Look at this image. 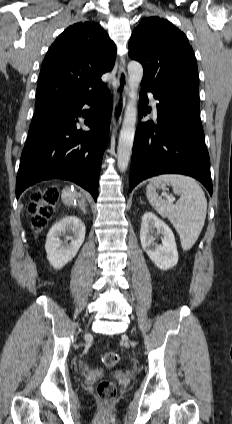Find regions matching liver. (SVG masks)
I'll return each instance as SVG.
<instances>
[{
  "label": "liver",
  "mask_w": 232,
  "mask_h": 424,
  "mask_svg": "<svg viewBox=\"0 0 232 424\" xmlns=\"http://www.w3.org/2000/svg\"><path fill=\"white\" fill-rule=\"evenodd\" d=\"M78 196L79 195L76 190L70 189L68 187L64 188L61 194L62 201L66 205H73L74 203H76V199L78 198Z\"/></svg>",
  "instance_id": "liver-1"
}]
</instances>
